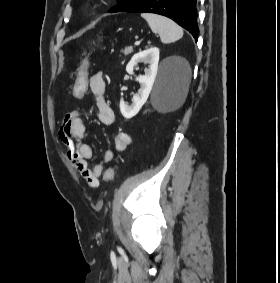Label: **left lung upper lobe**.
Listing matches in <instances>:
<instances>
[{"instance_id": "left-lung-upper-lobe-1", "label": "left lung upper lobe", "mask_w": 280, "mask_h": 283, "mask_svg": "<svg viewBox=\"0 0 280 283\" xmlns=\"http://www.w3.org/2000/svg\"><path fill=\"white\" fill-rule=\"evenodd\" d=\"M137 0H117V5L112 7L109 12H123L127 8H129L131 5H133Z\"/></svg>"}]
</instances>
